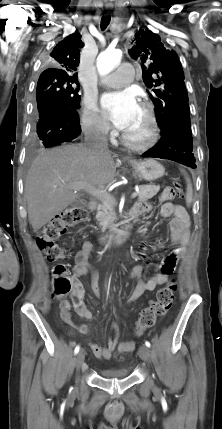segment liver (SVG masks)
Here are the masks:
<instances>
[{"label":"liver","instance_id":"1","mask_svg":"<svg viewBox=\"0 0 222 429\" xmlns=\"http://www.w3.org/2000/svg\"><path fill=\"white\" fill-rule=\"evenodd\" d=\"M115 174L116 165L108 150H91L84 145L43 150L28 171L24 189L34 232L79 200L73 185L86 182L103 189Z\"/></svg>","mask_w":222,"mask_h":429}]
</instances>
